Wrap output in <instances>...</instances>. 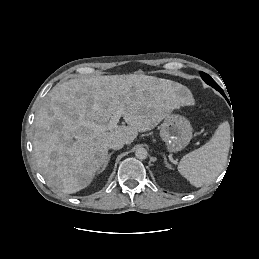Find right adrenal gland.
Wrapping results in <instances>:
<instances>
[{"instance_id":"obj_1","label":"right adrenal gland","mask_w":259,"mask_h":259,"mask_svg":"<svg viewBox=\"0 0 259 259\" xmlns=\"http://www.w3.org/2000/svg\"><path fill=\"white\" fill-rule=\"evenodd\" d=\"M113 153H114V152L112 151V152H110V153L108 154V156L106 157V160H105V162H104V164H103L102 169H101L100 172H103V171L106 169V167L108 166L109 161H110L111 156H112Z\"/></svg>"}]
</instances>
